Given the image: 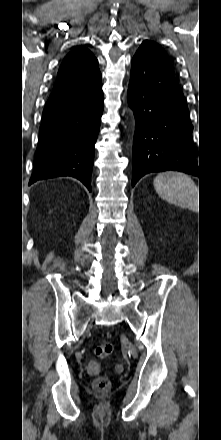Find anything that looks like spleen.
<instances>
[{
    "label": "spleen",
    "instance_id": "spleen-1",
    "mask_svg": "<svg viewBox=\"0 0 221 440\" xmlns=\"http://www.w3.org/2000/svg\"><path fill=\"white\" fill-rule=\"evenodd\" d=\"M153 183L162 199L192 211L198 209V187L190 176L181 172H163Z\"/></svg>",
    "mask_w": 221,
    "mask_h": 440
}]
</instances>
